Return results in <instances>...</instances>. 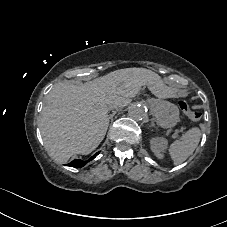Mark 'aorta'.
I'll list each match as a JSON object with an SVG mask.
<instances>
[{
  "label": "aorta",
  "instance_id": "1",
  "mask_svg": "<svg viewBox=\"0 0 227 227\" xmlns=\"http://www.w3.org/2000/svg\"><path fill=\"white\" fill-rule=\"evenodd\" d=\"M128 115L136 120H144L147 117V108L140 104H133L128 108Z\"/></svg>",
  "mask_w": 227,
  "mask_h": 227
}]
</instances>
